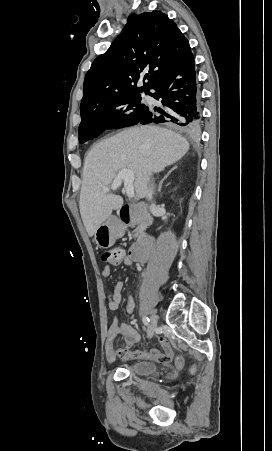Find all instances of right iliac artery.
<instances>
[{"instance_id": "1", "label": "right iliac artery", "mask_w": 272, "mask_h": 451, "mask_svg": "<svg viewBox=\"0 0 272 451\" xmlns=\"http://www.w3.org/2000/svg\"><path fill=\"white\" fill-rule=\"evenodd\" d=\"M142 321L146 326H148L150 323V319L147 316H143Z\"/></svg>"}]
</instances>
